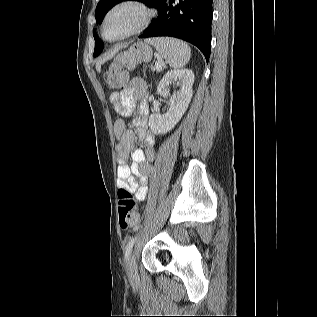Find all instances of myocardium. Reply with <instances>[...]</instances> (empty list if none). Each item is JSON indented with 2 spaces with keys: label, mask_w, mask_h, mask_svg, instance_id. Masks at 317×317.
<instances>
[{
  "label": "myocardium",
  "mask_w": 317,
  "mask_h": 317,
  "mask_svg": "<svg viewBox=\"0 0 317 317\" xmlns=\"http://www.w3.org/2000/svg\"><path fill=\"white\" fill-rule=\"evenodd\" d=\"M123 7H134L138 9L141 12V19L140 21L129 31L124 33L123 35L109 39L105 35V26L106 23L109 19V17L118 9L123 8ZM154 17V11L153 9L147 5L145 2L142 0H120L117 3H115L113 6H111L107 12L105 13L103 20H102V25H101V34L104 40L108 42H117L124 40L126 38L132 37L134 35H137L141 33L143 30L147 28V26L150 24Z\"/></svg>",
  "instance_id": "obj_1"
}]
</instances>
